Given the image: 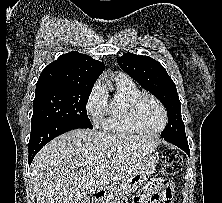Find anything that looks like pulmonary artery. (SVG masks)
Wrapping results in <instances>:
<instances>
[{
    "label": "pulmonary artery",
    "instance_id": "e3ab8cb5",
    "mask_svg": "<svg viewBox=\"0 0 222 203\" xmlns=\"http://www.w3.org/2000/svg\"><path fill=\"white\" fill-rule=\"evenodd\" d=\"M117 79L131 81L130 78L126 76L125 74H118Z\"/></svg>",
    "mask_w": 222,
    "mask_h": 203
}]
</instances>
